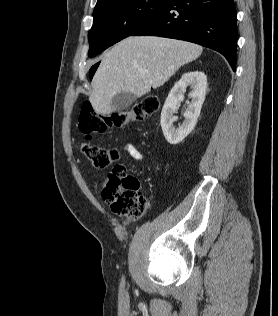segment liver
<instances>
[{
	"label": "liver",
	"instance_id": "6515ba94",
	"mask_svg": "<svg viewBox=\"0 0 278 316\" xmlns=\"http://www.w3.org/2000/svg\"><path fill=\"white\" fill-rule=\"evenodd\" d=\"M203 48L187 41L156 36H130L102 58L92 79L89 100L97 113L115 111L112 98L128 92L137 97L162 86L183 65L196 60Z\"/></svg>",
	"mask_w": 278,
	"mask_h": 316
}]
</instances>
